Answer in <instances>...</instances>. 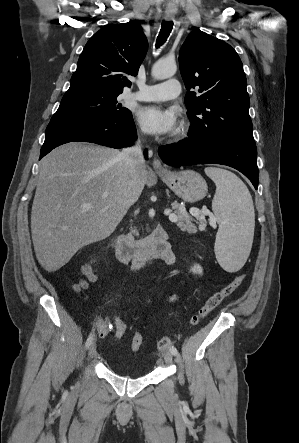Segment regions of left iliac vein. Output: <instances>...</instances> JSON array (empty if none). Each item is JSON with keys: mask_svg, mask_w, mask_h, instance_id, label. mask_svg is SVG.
I'll return each mask as SVG.
<instances>
[{"mask_svg": "<svg viewBox=\"0 0 299 443\" xmlns=\"http://www.w3.org/2000/svg\"><path fill=\"white\" fill-rule=\"evenodd\" d=\"M164 360H165V362H166L167 364H171L172 361H173L172 353H171V352H166V353L164 354Z\"/></svg>", "mask_w": 299, "mask_h": 443, "instance_id": "1", "label": "left iliac vein"}]
</instances>
